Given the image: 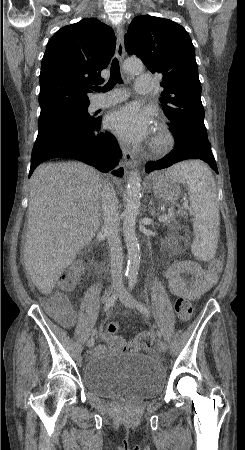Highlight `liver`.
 Listing matches in <instances>:
<instances>
[{"instance_id": "liver-1", "label": "liver", "mask_w": 245, "mask_h": 450, "mask_svg": "<svg viewBox=\"0 0 245 450\" xmlns=\"http://www.w3.org/2000/svg\"><path fill=\"white\" fill-rule=\"evenodd\" d=\"M102 182L80 162L38 166L30 181L24 245L26 270L50 294L64 270L100 227Z\"/></svg>"}]
</instances>
